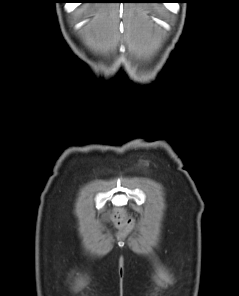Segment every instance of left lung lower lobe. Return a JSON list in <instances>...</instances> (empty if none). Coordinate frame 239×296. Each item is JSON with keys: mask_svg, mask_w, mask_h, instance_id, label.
Returning <instances> with one entry per match:
<instances>
[{"mask_svg": "<svg viewBox=\"0 0 239 296\" xmlns=\"http://www.w3.org/2000/svg\"><path fill=\"white\" fill-rule=\"evenodd\" d=\"M157 3L169 2L168 0H155Z\"/></svg>", "mask_w": 239, "mask_h": 296, "instance_id": "left-lung-lower-lobe-1", "label": "left lung lower lobe"}]
</instances>
